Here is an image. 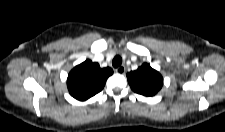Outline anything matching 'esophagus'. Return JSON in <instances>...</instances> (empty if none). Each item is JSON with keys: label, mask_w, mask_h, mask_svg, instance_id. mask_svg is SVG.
Returning a JSON list of instances; mask_svg holds the SVG:
<instances>
[{"label": "esophagus", "mask_w": 225, "mask_h": 132, "mask_svg": "<svg viewBox=\"0 0 225 132\" xmlns=\"http://www.w3.org/2000/svg\"><path fill=\"white\" fill-rule=\"evenodd\" d=\"M115 71L118 74H124L126 71V68H125V66H119Z\"/></svg>", "instance_id": "obj_1"}]
</instances>
